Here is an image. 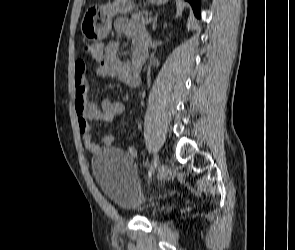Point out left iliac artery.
Here are the masks:
<instances>
[{"label":"left iliac artery","mask_w":295,"mask_h":250,"mask_svg":"<svg viewBox=\"0 0 295 250\" xmlns=\"http://www.w3.org/2000/svg\"><path fill=\"white\" fill-rule=\"evenodd\" d=\"M158 161L157 160H153L150 167H149V171H148V176L149 178H151V176L153 175L156 167H157Z\"/></svg>","instance_id":"44dca946"}]
</instances>
